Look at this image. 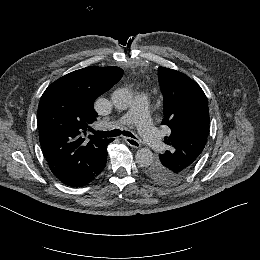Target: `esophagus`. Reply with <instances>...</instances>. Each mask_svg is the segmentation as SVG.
Wrapping results in <instances>:
<instances>
[{
	"label": "esophagus",
	"mask_w": 260,
	"mask_h": 260,
	"mask_svg": "<svg viewBox=\"0 0 260 260\" xmlns=\"http://www.w3.org/2000/svg\"><path fill=\"white\" fill-rule=\"evenodd\" d=\"M124 140L131 147L139 148L141 146V143L137 139L131 137H124Z\"/></svg>",
	"instance_id": "34e87169"
}]
</instances>
